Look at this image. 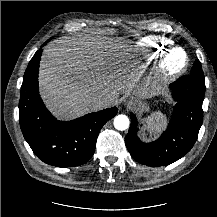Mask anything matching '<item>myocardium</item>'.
Here are the masks:
<instances>
[{"instance_id":"1","label":"myocardium","mask_w":217,"mask_h":217,"mask_svg":"<svg viewBox=\"0 0 217 217\" xmlns=\"http://www.w3.org/2000/svg\"><path fill=\"white\" fill-rule=\"evenodd\" d=\"M181 52L184 55V61L179 66H172L170 64L172 56L176 52ZM190 63L189 55L187 52L181 47H174L167 50L160 58L159 61V72L161 74L162 81L170 82L177 79L180 75H182L186 69L188 68Z\"/></svg>"}]
</instances>
